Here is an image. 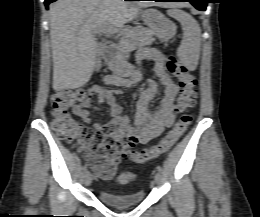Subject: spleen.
I'll use <instances>...</instances> for the list:
<instances>
[{
    "label": "spleen",
    "mask_w": 260,
    "mask_h": 217,
    "mask_svg": "<svg viewBox=\"0 0 260 217\" xmlns=\"http://www.w3.org/2000/svg\"><path fill=\"white\" fill-rule=\"evenodd\" d=\"M168 15L180 22L183 40L178 48V55L184 60H194L199 56L201 29L197 21L185 11L173 9Z\"/></svg>",
    "instance_id": "1"
}]
</instances>
